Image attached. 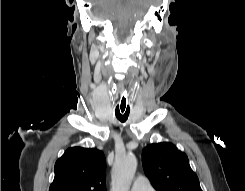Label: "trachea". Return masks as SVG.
I'll use <instances>...</instances> for the list:
<instances>
[{
    "instance_id": "3493384b",
    "label": "trachea",
    "mask_w": 245,
    "mask_h": 191,
    "mask_svg": "<svg viewBox=\"0 0 245 191\" xmlns=\"http://www.w3.org/2000/svg\"><path fill=\"white\" fill-rule=\"evenodd\" d=\"M131 106L129 103L127 88H124L115 109L117 119L124 123L129 117Z\"/></svg>"
}]
</instances>
